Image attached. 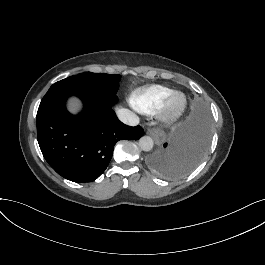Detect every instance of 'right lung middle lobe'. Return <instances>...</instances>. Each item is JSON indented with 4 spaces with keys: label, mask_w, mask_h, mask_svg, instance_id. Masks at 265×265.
Returning a JSON list of instances; mask_svg holds the SVG:
<instances>
[{
    "label": "right lung middle lobe",
    "mask_w": 265,
    "mask_h": 265,
    "mask_svg": "<svg viewBox=\"0 0 265 265\" xmlns=\"http://www.w3.org/2000/svg\"><path fill=\"white\" fill-rule=\"evenodd\" d=\"M119 76L92 72L74 75L53 84L44 98L58 93L74 94L96 104L113 106L116 103Z\"/></svg>",
    "instance_id": "obj_1"
}]
</instances>
